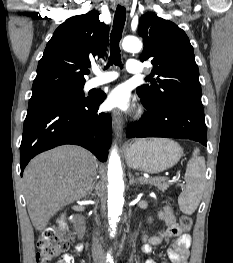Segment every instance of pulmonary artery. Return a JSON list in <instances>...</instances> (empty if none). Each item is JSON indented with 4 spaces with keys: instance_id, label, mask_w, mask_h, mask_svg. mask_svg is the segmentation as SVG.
<instances>
[{
    "instance_id": "1",
    "label": "pulmonary artery",
    "mask_w": 233,
    "mask_h": 263,
    "mask_svg": "<svg viewBox=\"0 0 233 263\" xmlns=\"http://www.w3.org/2000/svg\"><path fill=\"white\" fill-rule=\"evenodd\" d=\"M126 70L131 74H139L142 72L140 67V62L136 59H129L126 64ZM96 77L92 78L87 83V88L92 89L103 84L114 81L118 77V73L116 71H101L95 70Z\"/></svg>"
}]
</instances>
